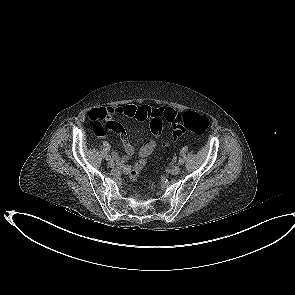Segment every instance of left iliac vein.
Wrapping results in <instances>:
<instances>
[{
	"label": "left iliac vein",
	"instance_id": "4c4485c4",
	"mask_svg": "<svg viewBox=\"0 0 295 295\" xmlns=\"http://www.w3.org/2000/svg\"><path fill=\"white\" fill-rule=\"evenodd\" d=\"M170 172H171V174H173V175H177V174H179V172H180V167H179L178 165H175V166H173V167L171 168Z\"/></svg>",
	"mask_w": 295,
	"mask_h": 295
}]
</instances>
